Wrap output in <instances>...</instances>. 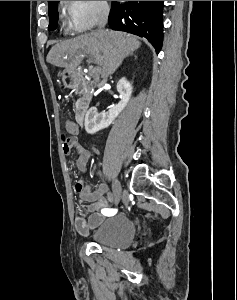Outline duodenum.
Instances as JSON below:
<instances>
[{
	"instance_id": "1",
	"label": "duodenum",
	"mask_w": 237,
	"mask_h": 300,
	"mask_svg": "<svg viewBox=\"0 0 237 300\" xmlns=\"http://www.w3.org/2000/svg\"><path fill=\"white\" fill-rule=\"evenodd\" d=\"M66 84L74 89L75 91L82 94L81 98L78 100L75 111V119L78 125H83L85 118L87 116L90 103L91 95L88 90L86 81L84 77L75 70H70L66 76Z\"/></svg>"
}]
</instances>
